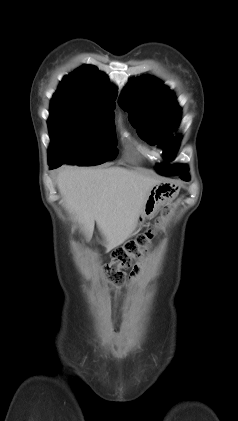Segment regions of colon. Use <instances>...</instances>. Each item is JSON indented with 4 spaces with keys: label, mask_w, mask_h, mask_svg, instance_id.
<instances>
[{
    "label": "colon",
    "mask_w": 238,
    "mask_h": 421,
    "mask_svg": "<svg viewBox=\"0 0 238 421\" xmlns=\"http://www.w3.org/2000/svg\"><path fill=\"white\" fill-rule=\"evenodd\" d=\"M170 214L168 208L164 209L162 216ZM162 220L156 222L161 225ZM155 237V228L150 227L146 232L138 235L136 239L128 241L124 246L112 253L111 261L105 266L104 271L115 286H123L126 282V272L136 267V263L150 250V244Z\"/></svg>",
    "instance_id": "colon-1"
}]
</instances>
